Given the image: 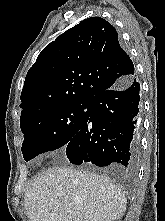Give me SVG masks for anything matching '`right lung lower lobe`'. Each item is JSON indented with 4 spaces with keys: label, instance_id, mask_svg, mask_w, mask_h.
I'll return each instance as SVG.
<instances>
[{
    "label": "right lung lower lobe",
    "instance_id": "98d812e1",
    "mask_svg": "<svg viewBox=\"0 0 165 221\" xmlns=\"http://www.w3.org/2000/svg\"><path fill=\"white\" fill-rule=\"evenodd\" d=\"M139 102L140 84L134 77L94 96L89 118L66 145L69 161L135 170L140 156Z\"/></svg>",
    "mask_w": 165,
    "mask_h": 221
}]
</instances>
